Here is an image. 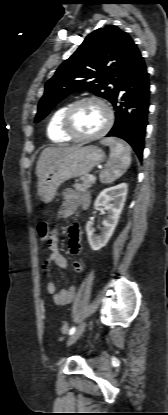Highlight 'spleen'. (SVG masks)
Returning a JSON list of instances; mask_svg holds the SVG:
<instances>
[{"mask_svg":"<svg viewBox=\"0 0 168 415\" xmlns=\"http://www.w3.org/2000/svg\"><path fill=\"white\" fill-rule=\"evenodd\" d=\"M101 144L110 147V158L104 170L99 174L100 182L110 184L120 178L131 163V148L124 141L117 138H106Z\"/></svg>","mask_w":168,"mask_h":415,"instance_id":"3e777b00","label":"spleen"}]
</instances>
